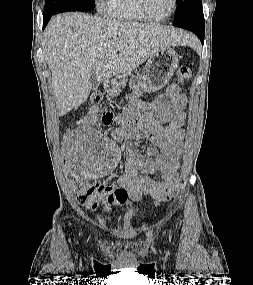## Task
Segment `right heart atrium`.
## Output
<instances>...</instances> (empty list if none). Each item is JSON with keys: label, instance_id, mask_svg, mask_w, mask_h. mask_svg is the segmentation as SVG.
Wrapping results in <instances>:
<instances>
[{"label": "right heart atrium", "instance_id": "1", "mask_svg": "<svg viewBox=\"0 0 253 285\" xmlns=\"http://www.w3.org/2000/svg\"><path fill=\"white\" fill-rule=\"evenodd\" d=\"M104 0H97L98 3H102Z\"/></svg>", "mask_w": 253, "mask_h": 285}]
</instances>
